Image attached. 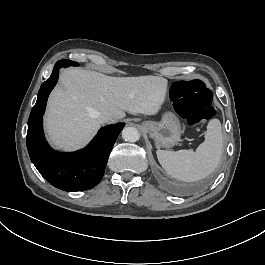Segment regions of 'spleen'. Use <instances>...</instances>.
<instances>
[{
	"instance_id": "obj_1",
	"label": "spleen",
	"mask_w": 265,
	"mask_h": 265,
	"mask_svg": "<svg viewBox=\"0 0 265 265\" xmlns=\"http://www.w3.org/2000/svg\"><path fill=\"white\" fill-rule=\"evenodd\" d=\"M206 129L204 141L195 151L157 149L158 160L168 174L189 182L200 180L214 171L223 149L221 123L218 119H212Z\"/></svg>"
}]
</instances>
